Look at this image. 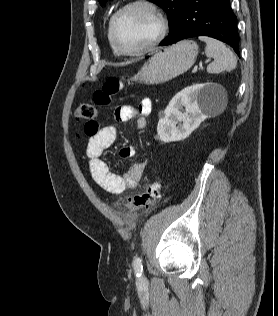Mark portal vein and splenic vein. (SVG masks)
<instances>
[{"instance_id":"1","label":"portal vein and splenic vein","mask_w":278,"mask_h":316,"mask_svg":"<svg viewBox=\"0 0 278 316\" xmlns=\"http://www.w3.org/2000/svg\"><path fill=\"white\" fill-rule=\"evenodd\" d=\"M208 62H210L209 59L206 61V63H208ZM197 69H198V66L196 65V66L193 68L192 72L195 73V72L197 71Z\"/></svg>"}]
</instances>
